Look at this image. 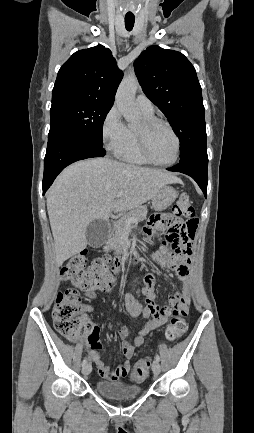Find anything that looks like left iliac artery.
Segmentation results:
<instances>
[{"instance_id":"obj_1","label":"left iliac artery","mask_w":254,"mask_h":433,"mask_svg":"<svg viewBox=\"0 0 254 433\" xmlns=\"http://www.w3.org/2000/svg\"><path fill=\"white\" fill-rule=\"evenodd\" d=\"M155 360L160 361V356L158 354L155 355Z\"/></svg>"}]
</instances>
